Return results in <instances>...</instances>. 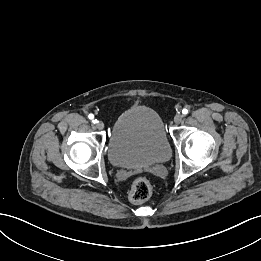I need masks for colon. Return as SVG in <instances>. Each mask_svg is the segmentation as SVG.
Masks as SVG:
<instances>
[{
	"label": "colon",
	"mask_w": 261,
	"mask_h": 261,
	"mask_svg": "<svg viewBox=\"0 0 261 261\" xmlns=\"http://www.w3.org/2000/svg\"><path fill=\"white\" fill-rule=\"evenodd\" d=\"M151 195V184L146 177L134 179L129 191V199L134 203H142Z\"/></svg>",
	"instance_id": "5ec220e1"
}]
</instances>
